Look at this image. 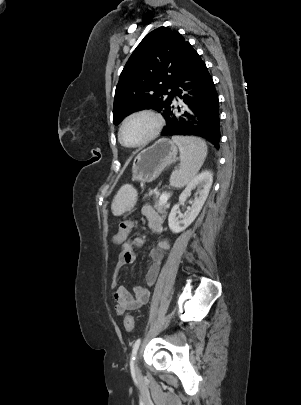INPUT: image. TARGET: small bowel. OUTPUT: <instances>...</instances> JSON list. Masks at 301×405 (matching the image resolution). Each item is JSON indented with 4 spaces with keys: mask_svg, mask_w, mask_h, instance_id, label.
<instances>
[{
    "mask_svg": "<svg viewBox=\"0 0 301 405\" xmlns=\"http://www.w3.org/2000/svg\"><path fill=\"white\" fill-rule=\"evenodd\" d=\"M141 211L147 219L149 229L157 235H162L164 232L162 216L149 204H145ZM144 243L145 241L142 237H135L131 241L126 240L118 254V262L111 282V289L113 290V298L115 300V311L118 315L137 309L149 301V287L155 283L161 270L164 253L170 248L169 242L166 239H160L157 246L150 250L152 262L146 273L147 286H135L133 294H131L125 287L118 286L116 280L117 271L123 265L135 262V249L142 247Z\"/></svg>",
    "mask_w": 301,
    "mask_h": 405,
    "instance_id": "c3829d8e",
    "label": "small bowel"
}]
</instances>
